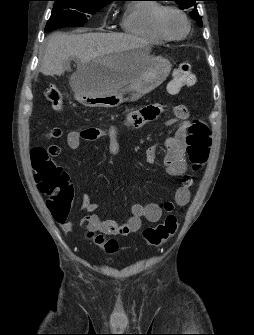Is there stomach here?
Returning a JSON list of instances; mask_svg holds the SVG:
<instances>
[{
	"instance_id": "0dacf381",
	"label": "stomach",
	"mask_w": 254,
	"mask_h": 335,
	"mask_svg": "<svg viewBox=\"0 0 254 335\" xmlns=\"http://www.w3.org/2000/svg\"><path fill=\"white\" fill-rule=\"evenodd\" d=\"M150 49L138 46L120 53L96 59L87 65L94 75L115 69L129 67L146 61L149 64L144 73L133 78L124 88L105 92L93 81L76 83L75 98L87 107L114 108L125 101H137L145 94L157 88L167 78L171 71V63L161 56H151ZM125 94H129L125 98Z\"/></svg>"
}]
</instances>
